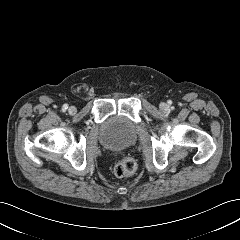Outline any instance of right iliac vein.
I'll return each mask as SVG.
<instances>
[{"mask_svg":"<svg viewBox=\"0 0 240 240\" xmlns=\"http://www.w3.org/2000/svg\"><path fill=\"white\" fill-rule=\"evenodd\" d=\"M68 112L70 114H75L76 113V107L75 106H70L69 109H68Z\"/></svg>","mask_w":240,"mask_h":240,"instance_id":"obj_1","label":"right iliac vein"}]
</instances>
